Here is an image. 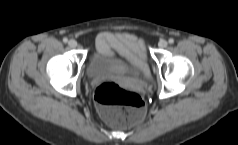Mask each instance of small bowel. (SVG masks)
<instances>
[{
    "instance_id": "obj_1",
    "label": "small bowel",
    "mask_w": 238,
    "mask_h": 145,
    "mask_svg": "<svg viewBox=\"0 0 238 145\" xmlns=\"http://www.w3.org/2000/svg\"><path fill=\"white\" fill-rule=\"evenodd\" d=\"M96 47L103 54L118 53L132 63L140 64L144 59V42L135 35L102 32L96 38Z\"/></svg>"
}]
</instances>
